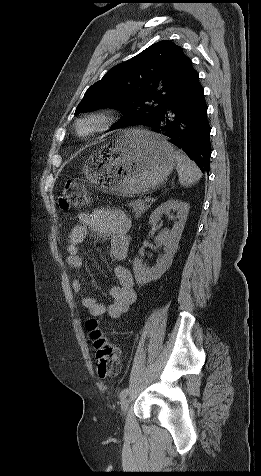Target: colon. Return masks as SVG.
Segmentation results:
<instances>
[{"label":"colon","mask_w":261,"mask_h":476,"mask_svg":"<svg viewBox=\"0 0 261 476\" xmlns=\"http://www.w3.org/2000/svg\"><path fill=\"white\" fill-rule=\"evenodd\" d=\"M89 197L82 179H72L64 183L58 196V205L62 210L84 206ZM86 329L95 348L97 374L101 379L115 377L120 369L119 351L100 329L96 318L86 321Z\"/></svg>","instance_id":"5ec220e1"}]
</instances>
